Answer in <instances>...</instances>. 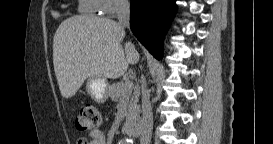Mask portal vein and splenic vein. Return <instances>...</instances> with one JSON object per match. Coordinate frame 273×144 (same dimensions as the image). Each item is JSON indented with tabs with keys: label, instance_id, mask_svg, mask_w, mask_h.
Segmentation results:
<instances>
[{
	"label": "portal vein and splenic vein",
	"instance_id": "1",
	"mask_svg": "<svg viewBox=\"0 0 273 144\" xmlns=\"http://www.w3.org/2000/svg\"><path fill=\"white\" fill-rule=\"evenodd\" d=\"M125 85H126V88L129 90H131L133 88V82H131V81H126Z\"/></svg>",
	"mask_w": 273,
	"mask_h": 144
}]
</instances>
